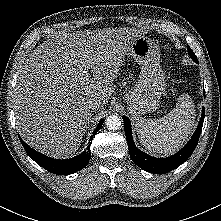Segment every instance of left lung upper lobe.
<instances>
[{
  "instance_id": "left-lung-upper-lobe-1",
  "label": "left lung upper lobe",
  "mask_w": 221,
  "mask_h": 221,
  "mask_svg": "<svg viewBox=\"0 0 221 221\" xmlns=\"http://www.w3.org/2000/svg\"><path fill=\"white\" fill-rule=\"evenodd\" d=\"M187 49H188V53H189L191 59H192L194 62L198 63L197 57H196V55L194 54V52L192 51V49L189 47V45L187 46Z\"/></svg>"
}]
</instances>
